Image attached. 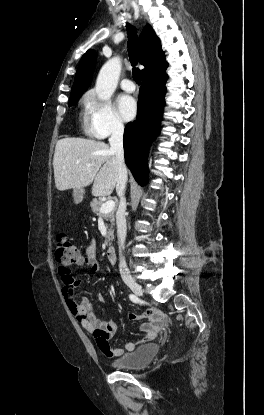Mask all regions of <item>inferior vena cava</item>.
Instances as JSON below:
<instances>
[{"label": "inferior vena cava", "instance_id": "1", "mask_svg": "<svg viewBox=\"0 0 264 415\" xmlns=\"http://www.w3.org/2000/svg\"><path fill=\"white\" fill-rule=\"evenodd\" d=\"M123 132L124 126L121 122H116L113 126L111 137L109 138L110 149L115 154V159L117 162V183H116V192L120 198L119 207L116 213V223H117V236L119 240L120 248V259H119V269L122 276L127 275L128 268L124 256L122 255V250L125 248V239H126V199H125V189L127 183V170L124 162V151H123Z\"/></svg>", "mask_w": 264, "mask_h": 415}]
</instances>
